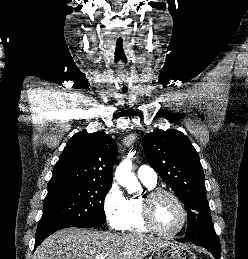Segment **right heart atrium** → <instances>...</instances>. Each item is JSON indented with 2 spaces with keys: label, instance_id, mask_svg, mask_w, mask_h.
I'll return each mask as SVG.
<instances>
[{
  "label": "right heart atrium",
  "instance_id": "right-heart-atrium-1",
  "mask_svg": "<svg viewBox=\"0 0 248 259\" xmlns=\"http://www.w3.org/2000/svg\"><path fill=\"white\" fill-rule=\"evenodd\" d=\"M128 199L120 187L113 183L103 201L104 213L109 225L116 230H122L125 223Z\"/></svg>",
  "mask_w": 248,
  "mask_h": 259
}]
</instances>
